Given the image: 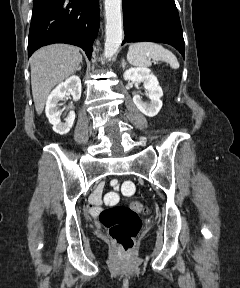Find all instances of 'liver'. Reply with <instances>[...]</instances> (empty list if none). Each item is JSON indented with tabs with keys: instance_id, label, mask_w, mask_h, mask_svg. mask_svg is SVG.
Wrapping results in <instances>:
<instances>
[{
	"instance_id": "liver-1",
	"label": "liver",
	"mask_w": 240,
	"mask_h": 288,
	"mask_svg": "<svg viewBox=\"0 0 240 288\" xmlns=\"http://www.w3.org/2000/svg\"><path fill=\"white\" fill-rule=\"evenodd\" d=\"M81 62L79 49L66 44L42 47L31 56V86L37 114L44 110L52 88L72 75Z\"/></svg>"
}]
</instances>
